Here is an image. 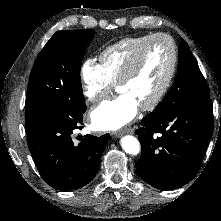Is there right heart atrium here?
<instances>
[{"label": "right heart atrium", "mask_w": 221, "mask_h": 221, "mask_svg": "<svg viewBox=\"0 0 221 221\" xmlns=\"http://www.w3.org/2000/svg\"><path fill=\"white\" fill-rule=\"evenodd\" d=\"M82 91L90 103H99L110 92L113 83L104 73L101 66L93 59H86L80 69Z\"/></svg>", "instance_id": "d8ad5b80"}]
</instances>
